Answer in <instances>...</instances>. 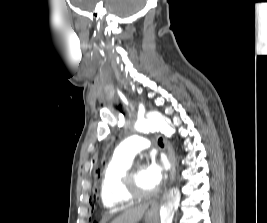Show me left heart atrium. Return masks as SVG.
I'll return each instance as SVG.
<instances>
[{"mask_svg":"<svg viewBox=\"0 0 267 223\" xmlns=\"http://www.w3.org/2000/svg\"><path fill=\"white\" fill-rule=\"evenodd\" d=\"M167 169L168 162L166 159H153L145 168L146 178L155 188H157L160 186Z\"/></svg>","mask_w":267,"mask_h":223,"instance_id":"obj_1","label":"left heart atrium"}]
</instances>
